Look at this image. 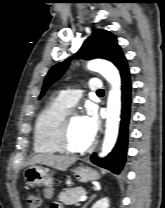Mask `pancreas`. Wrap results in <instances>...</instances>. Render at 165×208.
<instances>
[{"label":"pancreas","instance_id":"1","mask_svg":"<svg viewBox=\"0 0 165 208\" xmlns=\"http://www.w3.org/2000/svg\"><path fill=\"white\" fill-rule=\"evenodd\" d=\"M86 191L82 187L67 188L62 191L58 199L65 205H79V199L85 195Z\"/></svg>","mask_w":165,"mask_h":208}]
</instances>
